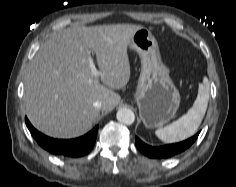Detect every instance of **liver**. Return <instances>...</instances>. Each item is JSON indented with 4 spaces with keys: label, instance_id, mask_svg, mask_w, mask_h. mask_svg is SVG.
Listing matches in <instances>:
<instances>
[{
    "label": "liver",
    "instance_id": "liver-1",
    "mask_svg": "<svg viewBox=\"0 0 236 187\" xmlns=\"http://www.w3.org/2000/svg\"><path fill=\"white\" fill-rule=\"evenodd\" d=\"M141 25L113 24L71 27L52 35L40 47L25 75L27 116L35 128L56 138L86 133L100 111H112L120 101L113 90L130 79L127 47ZM94 53L98 77L91 74ZM100 101L102 107L93 103Z\"/></svg>",
    "mask_w": 236,
    "mask_h": 187
}]
</instances>
